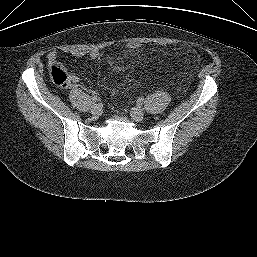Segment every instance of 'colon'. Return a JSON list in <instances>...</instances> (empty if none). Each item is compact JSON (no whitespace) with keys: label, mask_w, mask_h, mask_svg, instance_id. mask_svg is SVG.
I'll return each mask as SVG.
<instances>
[{"label":"colon","mask_w":257,"mask_h":257,"mask_svg":"<svg viewBox=\"0 0 257 257\" xmlns=\"http://www.w3.org/2000/svg\"><path fill=\"white\" fill-rule=\"evenodd\" d=\"M125 47L130 50H138L142 47V44L134 41H127ZM50 77L52 82L60 87H65L69 84V75L58 65L50 67Z\"/></svg>","instance_id":"5ec220e1"}]
</instances>
